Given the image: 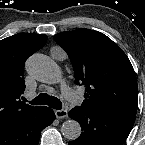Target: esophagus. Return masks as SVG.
<instances>
[{"label":"esophagus","instance_id":"34e87169","mask_svg":"<svg viewBox=\"0 0 145 145\" xmlns=\"http://www.w3.org/2000/svg\"><path fill=\"white\" fill-rule=\"evenodd\" d=\"M55 115L58 119H62L68 116V112L66 110H55Z\"/></svg>","mask_w":145,"mask_h":145}]
</instances>
